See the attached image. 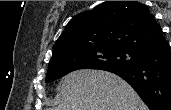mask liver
Here are the masks:
<instances>
[{
    "instance_id": "liver-1",
    "label": "liver",
    "mask_w": 171,
    "mask_h": 110,
    "mask_svg": "<svg viewBox=\"0 0 171 110\" xmlns=\"http://www.w3.org/2000/svg\"><path fill=\"white\" fill-rule=\"evenodd\" d=\"M61 102L48 110H148L134 89L102 70H76L62 78Z\"/></svg>"
}]
</instances>
